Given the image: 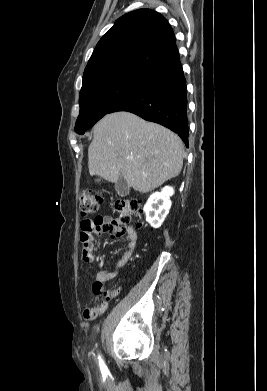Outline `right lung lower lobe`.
Listing matches in <instances>:
<instances>
[{"instance_id":"right-lung-lower-lobe-1","label":"right lung lower lobe","mask_w":267,"mask_h":391,"mask_svg":"<svg viewBox=\"0 0 267 391\" xmlns=\"http://www.w3.org/2000/svg\"><path fill=\"white\" fill-rule=\"evenodd\" d=\"M132 112L177 133L188 147L186 80L180 59L154 70L147 80L109 113Z\"/></svg>"}]
</instances>
